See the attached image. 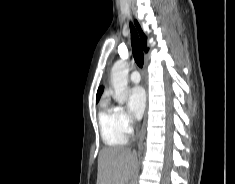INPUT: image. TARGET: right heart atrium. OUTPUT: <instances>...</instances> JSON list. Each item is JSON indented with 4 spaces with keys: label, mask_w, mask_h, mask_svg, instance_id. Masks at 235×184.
Returning a JSON list of instances; mask_svg holds the SVG:
<instances>
[{
    "label": "right heart atrium",
    "mask_w": 235,
    "mask_h": 184,
    "mask_svg": "<svg viewBox=\"0 0 235 184\" xmlns=\"http://www.w3.org/2000/svg\"><path fill=\"white\" fill-rule=\"evenodd\" d=\"M118 123L122 131L127 135L131 136L134 133V123L133 120L127 111L122 106L115 107Z\"/></svg>",
    "instance_id": "d8ad5b80"
}]
</instances>
